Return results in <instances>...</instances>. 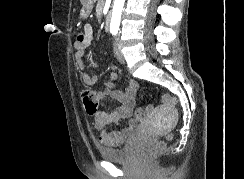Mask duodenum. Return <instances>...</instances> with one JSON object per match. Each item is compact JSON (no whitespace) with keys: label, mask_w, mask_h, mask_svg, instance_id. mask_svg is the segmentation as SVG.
Instances as JSON below:
<instances>
[{"label":"duodenum","mask_w":244,"mask_h":179,"mask_svg":"<svg viewBox=\"0 0 244 179\" xmlns=\"http://www.w3.org/2000/svg\"><path fill=\"white\" fill-rule=\"evenodd\" d=\"M110 21H111V19H110V12H107L105 14V17H104V27H105L106 30L109 28Z\"/></svg>","instance_id":"410a0bca"}]
</instances>
